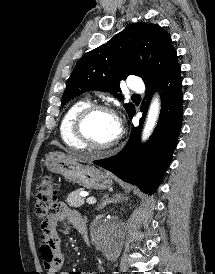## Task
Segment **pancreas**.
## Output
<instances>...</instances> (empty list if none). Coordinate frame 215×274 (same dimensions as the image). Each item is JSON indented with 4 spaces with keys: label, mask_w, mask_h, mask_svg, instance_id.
Here are the masks:
<instances>
[{
    "label": "pancreas",
    "mask_w": 215,
    "mask_h": 274,
    "mask_svg": "<svg viewBox=\"0 0 215 274\" xmlns=\"http://www.w3.org/2000/svg\"><path fill=\"white\" fill-rule=\"evenodd\" d=\"M82 190L83 189H77L67 196L66 202L69 206L78 208L84 204V198L80 196Z\"/></svg>",
    "instance_id": "cf45deb5"
}]
</instances>
